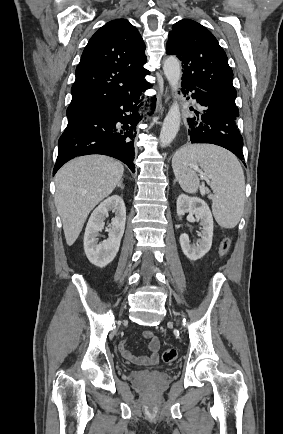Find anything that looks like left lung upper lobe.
I'll list each match as a JSON object with an SVG mask.
<instances>
[{
    "instance_id": "1",
    "label": "left lung upper lobe",
    "mask_w": 283,
    "mask_h": 434,
    "mask_svg": "<svg viewBox=\"0 0 283 434\" xmlns=\"http://www.w3.org/2000/svg\"><path fill=\"white\" fill-rule=\"evenodd\" d=\"M166 53L182 61V82L235 104L237 93L227 55L204 26L190 19L175 23L169 33Z\"/></svg>"
}]
</instances>
